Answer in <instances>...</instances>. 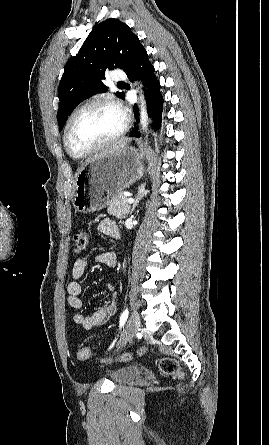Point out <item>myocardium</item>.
I'll list each match as a JSON object with an SVG mask.
<instances>
[{
    "mask_svg": "<svg viewBox=\"0 0 269 445\" xmlns=\"http://www.w3.org/2000/svg\"><path fill=\"white\" fill-rule=\"evenodd\" d=\"M96 105H108V106H111V107H114V108L118 109V110L122 113L123 118H124L123 125H122L121 129H120V130H119L113 137H111V138L105 140L104 142L100 143V144L97 145L96 147H94V148H92V149H90V150H88V151H86V152H83V153H76V152H74V151L71 149V147H70V145H69V143H68V134H69L70 126H71L73 120L75 119V117H76L78 114H80V113L83 112L84 110H86V109H88V108H91V107H93V106H96ZM128 128H129V118H128V116L125 114V112H123L122 108H121V107H120L114 100H112V99L109 98V97H98V98H94V99L89 100L88 102L84 103V104L81 105L80 107H78V108H77V109H76V110L69 116V118H68V120H67V122H66V124H65L64 132H63V143H64V147H65L67 153H68L71 157H73V158H75V159H83V158L89 157V156H91V155H94V154L100 152V151L103 150L104 148H106V147L112 145L113 143H115L116 141H118L119 139H121V138L126 134V132L128 131Z\"/></svg>",
    "mask_w": 269,
    "mask_h": 445,
    "instance_id": "1",
    "label": "myocardium"
}]
</instances>
